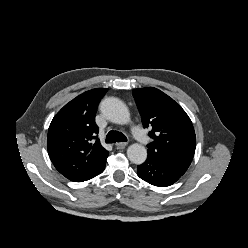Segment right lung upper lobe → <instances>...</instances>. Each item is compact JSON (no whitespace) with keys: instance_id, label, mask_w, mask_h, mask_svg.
<instances>
[{"instance_id":"right-lung-upper-lobe-1","label":"right lung upper lobe","mask_w":248,"mask_h":248,"mask_svg":"<svg viewBox=\"0 0 248 248\" xmlns=\"http://www.w3.org/2000/svg\"><path fill=\"white\" fill-rule=\"evenodd\" d=\"M106 92L105 88H96L77 96L55 115L49 126L50 159L71 181L89 180L106 164L109 153L101 146L94 123L98 103Z\"/></svg>"}]
</instances>
